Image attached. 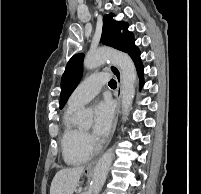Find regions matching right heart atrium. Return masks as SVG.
Here are the masks:
<instances>
[{"label":"right heart atrium","mask_w":201,"mask_h":194,"mask_svg":"<svg viewBox=\"0 0 201 194\" xmlns=\"http://www.w3.org/2000/svg\"><path fill=\"white\" fill-rule=\"evenodd\" d=\"M84 141L85 144L89 147L92 148L94 145L93 138L89 134H84Z\"/></svg>","instance_id":"d8ad5b80"}]
</instances>
